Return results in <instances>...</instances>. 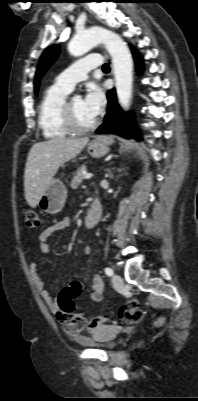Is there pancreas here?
<instances>
[{
  "mask_svg": "<svg viewBox=\"0 0 198 401\" xmlns=\"http://www.w3.org/2000/svg\"><path fill=\"white\" fill-rule=\"evenodd\" d=\"M84 171H86V167L83 166L81 168H79L75 175L73 176L71 182H70V187L72 189H77L78 186L82 183L83 179H84Z\"/></svg>",
  "mask_w": 198,
  "mask_h": 401,
  "instance_id": "cf45deb5",
  "label": "pancreas"
}]
</instances>
